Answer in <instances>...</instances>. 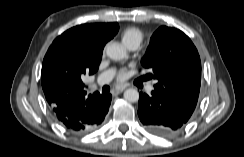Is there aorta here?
<instances>
[{
	"instance_id": "762f6f07",
	"label": "aorta",
	"mask_w": 244,
	"mask_h": 157,
	"mask_svg": "<svg viewBox=\"0 0 244 157\" xmlns=\"http://www.w3.org/2000/svg\"><path fill=\"white\" fill-rule=\"evenodd\" d=\"M106 54L112 60H122L127 57L126 50L118 43H110L106 47ZM124 99L129 102L139 100V92L135 88H129L124 91Z\"/></svg>"
}]
</instances>
